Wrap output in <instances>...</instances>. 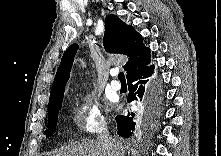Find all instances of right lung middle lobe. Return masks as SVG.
<instances>
[{
  "label": "right lung middle lobe",
  "instance_id": "1",
  "mask_svg": "<svg viewBox=\"0 0 221 156\" xmlns=\"http://www.w3.org/2000/svg\"><path fill=\"white\" fill-rule=\"evenodd\" d=\"M62 100L63 97L50 105L48 108V129L44 132L47 137L51 136L55 132L58 121V113L61 109Z\"/></svg>",
  "mask_w": 221,
  "mask_h": 156
}]
</instances>
